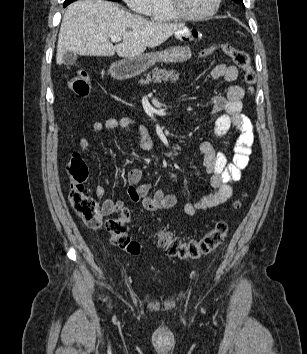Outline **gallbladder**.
I'll return each mask as SVG.
<instances>
[{"label": "gallbladder", "mask_w": 307, "mask_h": 354, "mask_svg": "<svg viewBox=\"0 0 307 354\" xmlns=\"http://www.w3.org/2000/svg\"><path fill=\"white\" fill-rule=\"evenodd\" d=\"M77 60V55L74 52H66L63 55L62 63L65 65H73Z\"/></svg>", "instance_id": "bac80fb5"}]
</instances>
